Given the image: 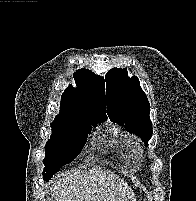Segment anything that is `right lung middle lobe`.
I'll list each match as a JSON object with an SVG mask.
<instances>
[{
  "instance_id": "obj_1",
  "label": "right lung middle lobe",
  "mask_w": 196,
  "mask_h": 201,
  "mask_svg": "<svg viewBox=\"0 0 196 201\" xmlns=\"http://www.w3.org/2000/svg\"><path fill=\"white\" fill-rule=\"evenodd\" d=\"M105 120V117L78 113L56 117L51 124L52 135L45 145L44 180H49L60 167L74 160L84 147L91 126Z\"/></svg>"
}]
</instances>
